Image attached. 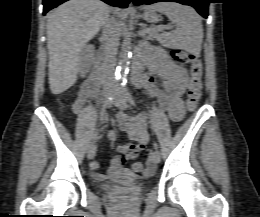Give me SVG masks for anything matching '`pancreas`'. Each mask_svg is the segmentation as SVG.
Instances as JSON below:
<instances>
[{
    "mask_svg": "<svg viewBox=\"0 0 260 217\" xmlns=\"http://www.w3.org/2000/svg\"><path fill=\"white\" fill-rule=\"evenodd\" d=\"M157 36L158 35H157L156 31H150L147 33V35H144V38L146 40H153L154 38H157Z\"/></svg>",
    "mask_w": 260,
    "mask_h": 217,
    "instance_id": "cf45deb5",
    "label": "pancreas"
}]
</instances>
